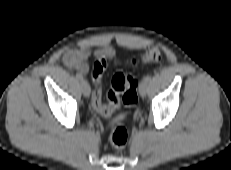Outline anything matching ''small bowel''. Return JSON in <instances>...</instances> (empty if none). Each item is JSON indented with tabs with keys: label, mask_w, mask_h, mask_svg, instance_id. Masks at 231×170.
Returning a JSON list of instances; mask_svg holds the SVG:
<instances>
[{
	"label": "small bowel",
	"mask_w": 231,
	"mask_h": 170,
	"mask_svg": "<svg viewBox=\"0 0 231 170\" xmlns=\"http://www.w3.org/2000/svg\"><path fill=\"white\" fill-rule=\"evenodd\" d=\"M115 55V49L111 45H104L97 50H90L88 47L67 49L62 55V62L68 68L75 70L81 75H86L89 71V61L94 58L108 59Z\"/></svg>",
	"instance_id": "obj_1"
}]
</instances>
